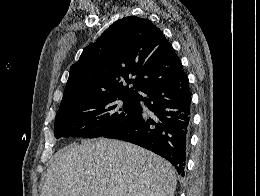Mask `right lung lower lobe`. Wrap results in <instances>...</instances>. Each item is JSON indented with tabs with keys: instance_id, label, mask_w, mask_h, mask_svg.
Segmentation results:
<instances>
[{
	"instance_id": "98d812e1",
	"label": "right lung lower lobe",
	"mask_w": 260,
	"mask_h": 196,
	"mask_svg": "<svg viewBox=\"0 0 260 196\" xmlns=\"http://www.w3.org/2000/svg\"><path fill=\"white\" fill-rule=\"evenodd\" d=\"M138 100L144 101V114ZM137 104L141 112L139 119L103 137L151 150L170 161L184 176L191 125V92L186 73L182 70L173 79L146 89L137 96Z\"/></svg>"
}]
</instances>
